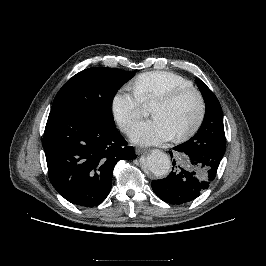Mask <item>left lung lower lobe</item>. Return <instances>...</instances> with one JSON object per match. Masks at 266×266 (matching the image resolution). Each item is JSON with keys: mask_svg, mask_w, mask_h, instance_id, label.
Instances as JSON below:
<instances>
[{"mask_svg": "<svg viewBox=\"0 0 266 266\" xmlns=\"http://www.w3.org/2000/svg\"><path fill=\"white\" fill-rule=\"evenodd\" d=\"M184 159L180 165L173 160L171 173L164 179L153 180L155 194L169 204H183L197 198L214 180L220 161L185 148L174 147ZM170 155L173 157L171 151Z\"/></svg>", "mask_w": 266, "mask_h": 266, "instance_id": "1", "label": "left lung lower lobe"}]
</instances>
